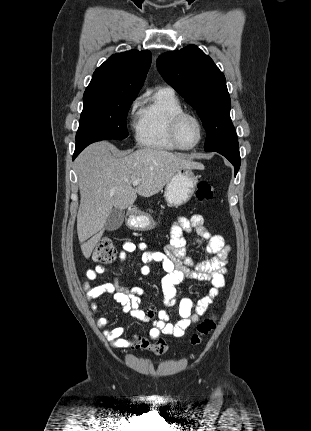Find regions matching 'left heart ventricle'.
Instances as JSON below:
<instances>
[{
    "label": "left heart ventricle",
    "instance_id": "1",
    "mask_svg": "<svg viewBox=\"0 0 311 431\" xmlns=\"http://www.w3.org/2000/svg\"><path fill=\"white\" fill-rule=\"evenodd\" d=\"M201 135V128L198 121L192 117H185L179 127V137L183 145L191 146L195 144Z\"/></svg>",
    "mask_w": 311,
    "mask_h": 431
}]
</instances>
